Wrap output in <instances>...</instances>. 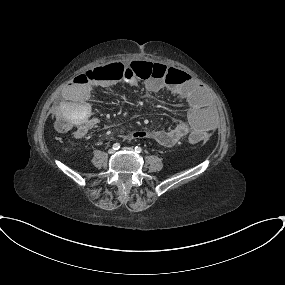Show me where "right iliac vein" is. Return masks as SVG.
<instances>
[{"label": "right iliac vein", "mask_w": 285, "mask_h": 285, "mask_svg": "<svg viewBox=\"0 0 285 285\" xmlns=\"http://www.w3.org/2000/svg\"><path fill=\"white\" fill-rule=\"evenodd\" d=\"M108 153H109V154H114V153H115V150L111 148V149L108 150Z\"/></svg>", "instance_id": "right-iliac-vein-1"}]
</instances>
